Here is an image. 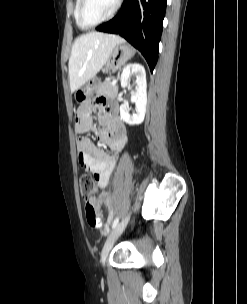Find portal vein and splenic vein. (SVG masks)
<instances>
[{
  "instance_id": "obj_1",
  "label": "portal vein and splenic vein",
  "mask_w": 247,
  "mask_h": 304,
  "mask_svg": "<svg viewBox=\"0 0 247 304\" xmlns=\"http://www.w3.org/2000/svg\"><path fill=\"white\" fill-rule=\"evenodd\" d=\"M116 83H117V80L114 79V80L112 81V84L115 85Z\"/></svg>"
}]
</instances>
